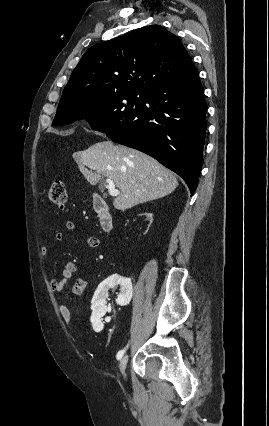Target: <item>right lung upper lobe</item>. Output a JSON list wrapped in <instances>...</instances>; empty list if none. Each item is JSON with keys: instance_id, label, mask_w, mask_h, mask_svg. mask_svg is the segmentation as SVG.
I'll return each mask as SVG.
<instances>
[{"instance_id": "obj_1", "label": "right lung upper lobe", "mask_w": 269, "mask_h": 426, "mask_svg": "<svg viewBox=\"0 0 269 426\" xmlns=\"http://www.w3.org/2000/svg\"><path fill=\"white\" fill-rule=\"evenodd\" d=\"M193 68L176 35L160 25L145 26L88 49L72 72L61 98L147 93Z\"/></svg>"}]
</instances>
